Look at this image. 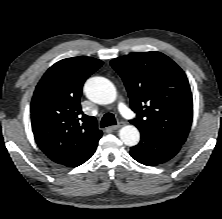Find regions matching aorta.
I'll return each mask as SVG.
<instances>
[{"mask_svg": "<svg viewBox=\"0 0 222 219\" xmlns=\"http://www.w3.org/2000/svg\"><path fill=\"white\" fill-rule=\"evenodd\" d=\"M87 98L98 104H110L116 100L117 92L113 83L104 77H92L84 86ZM121 141L127 146H135L140 140V133L133 125H126L119 131Z\"/></svg>", "mask_w": 222, "mask_h": 219, "instance_id": "obj_1", "label": "aorta"}]
</instances>
